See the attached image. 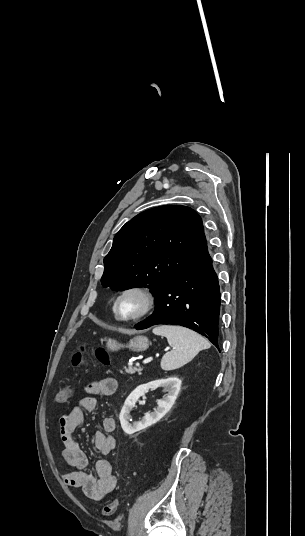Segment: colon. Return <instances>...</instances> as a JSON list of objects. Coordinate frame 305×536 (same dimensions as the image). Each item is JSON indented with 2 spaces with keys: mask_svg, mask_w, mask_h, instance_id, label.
<instances>
[{
  "mask_svg": "<svg viewBox=\"0 0 305 536\" xmlns=\"http://www.w3.org/2000/svg\"><path fill=\"white\" fill-rule=\"evenodd\" d=\"M87 355V345L81 344L79 349L75 350L72 354V365L79 367L83 364L85 356ZM95 357L101 364H109L110 357L107 351L102 347H97L95 350ZM71 396V390L69 387H63L56 393L55 400L59 404H66L69 402ZM118 506V500L115 498L113 501L103 508L104 516H111L115 512Z\"/></svg>",
  "mask_w": 305,
  "mask_h": 536,
  "instance_id": "colon-1",
  "label": "colon"
}]
</instances>
